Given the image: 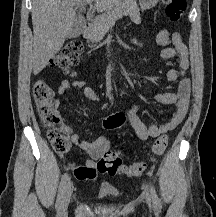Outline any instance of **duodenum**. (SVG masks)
<instances>
[{
    "label": "duodenum",
    "mask_w": 216,
    "mask_h": 217,
    "mask_svg": "<svg viewBox=\"0 0 216 217\" xmlns=\"http://www.w3.org/2000/svg\"><path fill=\"white\" fill-rule=\"evenodd\" d=\"M89 31H90L89 26H86V27L84 28V30H83V33H84L85 35H88V34H89Z\"/></svg>",
    "instance_id": "duodenum-1"
}]
</instances>
